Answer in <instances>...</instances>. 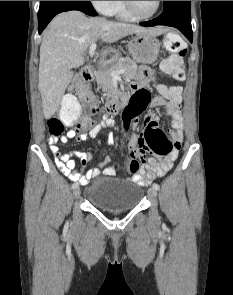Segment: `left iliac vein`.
Wrapping results in <instances>:
<instances>
[{
	"mask_svg": "<svg viewBox=\"0 0 233 295\" xmlns=\"http://www.w3.org/2000/svg\"><path fill=\"white\" fill-rule=\"evenodd\" d=\"M148 194L150 197L152 198H156L157 197V190L153 187L148 189Z\"/></svg>",
	"mask_w": 233,
	"mask_h": 295,
	"instance_id": "4c4485c4",
	"label": "left iliac vein"
}]
</instances>
